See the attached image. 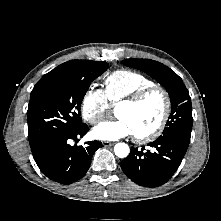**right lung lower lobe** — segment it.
<instances>
[{"label": "right lung lower lobe", "instance_id": "right-lung-lower-lobe-1", "mask_svg": "<svg viewBox=\"0 0 221 221\" xmlns=\"http://www.w3.org/2000/svg\"><path fill=\"white\" fill-rule=\"evenodd\" d=\"M88 130L84 123L69 133L49 138L31 149L41 172L61 184H71L81 179L90 167L94 152L103 147L99 141L86 142L85 146L69 144L70 140L78 141Z\"/></svg>", "mask_w": 221, "mask_h": 221}]
</instances>
